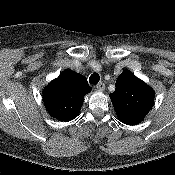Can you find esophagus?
Masks as SVG:
<instances>
[{
	"label": "esophagus",
	"mask_w": 175,
	"mask_h": 175,
	"mask_svg": "<svg viewBox=\"0 0 175 175\" xmlns=\"http://www.w3.org/2000/svg\"><path fill=\"white\" fill-rule=\"evenodd\" d=\"M105 89V84L103 82H100L96 85V90L103 91Z\"/></svg>",
	"instance_id": "esophagus-1"
}]
</instances>
